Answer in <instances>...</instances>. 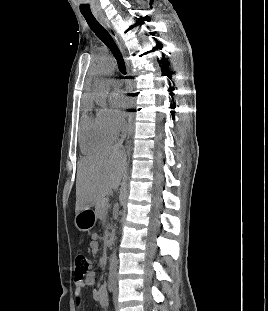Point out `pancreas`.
<instances>
[{
    "instance_id": "1",
    "label": "pancreas",
    "mask_w": 268,
    "mask_h": 311,
    "mask_svg": "<svg viewBox=\"0 0 268 311\" xmlns=\"http://www.w3.org/2000/svg\"><path fill=\"white\" fill-rule=\"evenodd\" d=\"M109 207H110L109 202L105 198L98 200L95 204L96 217L101 219L103 223L105 222L107 210Z\"/></svg>"
}]
</instances>
